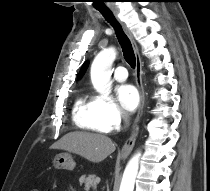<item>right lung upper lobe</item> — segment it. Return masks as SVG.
<instances>
[{"instance_id":"1","label":"right lung upper lobe","mask_w":210,"mask_h":191,"mask_svg":"<svg viewBox=\"0 0 210 191\" xmlns=\"http://www.w3.org/2000/svg\"><path fill=\"white\" fill-rule=\"evenodd\" d=\"M87 67H88V62H85V63L83 64V66H82V69H81V71H80L79 76H82V75L84 74V72H85V70L87 69Z\"/></svg>"}]
</instances>
